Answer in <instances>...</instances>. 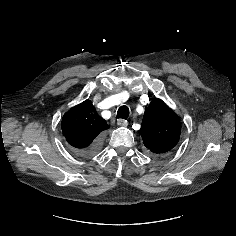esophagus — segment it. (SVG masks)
Returning <instances> with one entry per match:
<instances>
[{
	"label": "esophagus",
	"instance_id": "obj_1",
	"mask_svg": "<svg viewBox=\"0 0 236 236\" xmlns=\"http://www.w3.org/2000/svg\"><path fill=\"white\" fill-rule=\"evenodd\" d=\"M117 124L121 127H126L128 125V121L124 119H118Z\"/></svg>",
	"mask_w": 236,
	"mask_h": 236
}]
</instances>
